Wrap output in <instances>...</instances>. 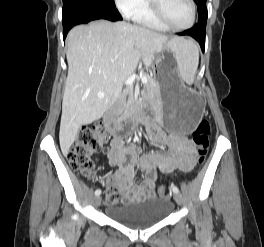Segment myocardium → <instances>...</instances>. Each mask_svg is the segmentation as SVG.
<instances>
[{
  "instance_id": "obj_1",
  "label": "myocardium",
  "mask_w": 264,
  "mask_h": 247,
  "mask_svg": "<svg viewBox=\"0 0 264 247\" xmlns=\"http://www.w3.org/2000/svg\"><path fill=\"white\" fill-rule=\"evenodd\" d=\"M149 1V7L152 15L154 18L161 23L165 28L174 30V31H183L190 29L196 21V15H197V9H196V3L194 0H188L191 6V19L188 24L183 26H177L172 23H170L167 18L165 17L162 7H161V0H148Z\"/></svg>"
}]
</instances>
